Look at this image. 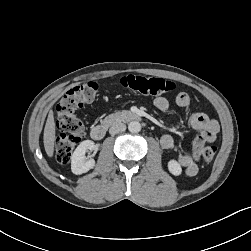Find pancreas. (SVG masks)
Returning <instances> with one entry per match:
<instances>
[{
    "label": "pancreas",
    "instance_id": "pancreas-1",
    "mask_svg": "<svg viewBox=\"0 0 251 251\" xmlns=\"http://www.w3.org/2000/svg\"><path fill=\"white\" fill-rule=\"evenodd\" d=\"M120 116H121V112H116V113H113V114H110L108 115L107 117H105L103 120H102V124L105 125V126H110L112 125L113 123H115L116 121H118L120 119Z\"/></svg>",
    "mask_w": 251,
    "mask_h": 251
}]
</instances>
